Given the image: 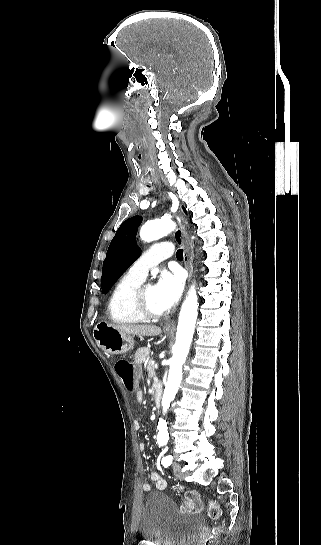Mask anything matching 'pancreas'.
Masks as SVG:
<instances>
[{
	"label": "pancreas",
	"mask_w": 321,
	"mask_h": 545,
	"mask_svg": "<svg viewBox=\"0 0 321 545\" xmlns=\"http://www.w3.org/2000/svg\"><path fill=\"white\" fill-rule=\"evenodd\" d=\"M147 371L149 379H153V377H156L155 365H153V361H149L147 365Z\"/></svg>",
	"instance_id": "cf45deb5"
}]
</instances>
